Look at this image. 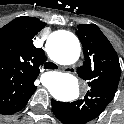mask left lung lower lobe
Wrapping results in <instances>:
<instances>
[{
	"label": "left lung lower lobe",
	"instance_id": "left-lung-lower-lobe-1",
	"mask_svg": "<svg viewBox=\"0 0 124 124\" xmlns=\"http://www.w3.org/2000/svg\"><path fill=\"white\" fill-rule=\"evenodd\" d=\"M52 111L63 124H68L63 115L62 102L52 99Z\"/></svg>",
	"mask_w": 124,
	"mask_h": 124
}]
</instances>
